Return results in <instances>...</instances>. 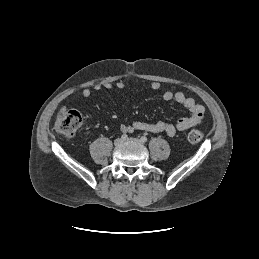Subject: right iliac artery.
Wrapping results in <instances>:
<instances>
[{
	"label": "right iliac artery",
	"instance_id": "obj_1",
	"mask_svg": "<svg viewBox=\"0 0 259 259\" xmlns=\"http://www.w3.org/2000/svg\"><path fill=\"white\" fill-rule=\"evenodd\" d=\"M121 139H122V140H127V139H128V136H127L126 134H123V135L121 136Z\"/></svg>",
	"mask_w": 259,
	"mask_h": 259
}]
</instances>
